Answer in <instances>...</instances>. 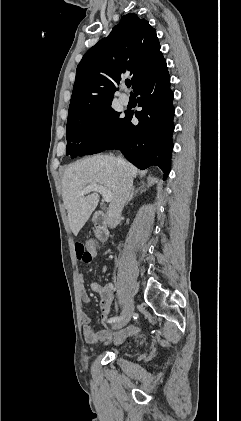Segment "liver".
Masks as SVG:
<instances>
[{"label": "liver", "mask_w": 241, "mask_h": 421, "mask_svg": "<svg viewBox=\"0 0 241 421\" xmlns=\"http://www.w3.org/2000/svg\"><path fill=\"white\" fill-rule=\"evenodd\" d=\"M127 171L132 178L138 170L126 162ZM120 183V167L117 158L109 155H94L75 162L64 172L62 179V197L68 212V222L75 236L85 225L95 210L99 195L96 192L81 195L88 185L99 184L112 192V199Z\"/></svg>", "instance_id": "liver-1"}]
</instances>
